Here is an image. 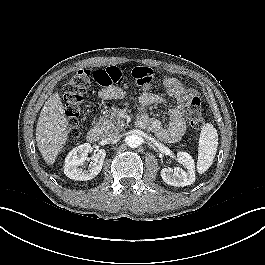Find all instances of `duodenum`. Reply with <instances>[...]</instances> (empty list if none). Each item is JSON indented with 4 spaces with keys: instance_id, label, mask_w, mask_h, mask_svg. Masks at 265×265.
Returning a JSON list of instances; mask_svg holds the SVG:
<instances>
[{
    "instance_id": "1",
    "label": "duodenum",
    "mask_w": 265,
    "mask_h": 265,
    "mask_svg": "<svg viewBox=\"0 0 265 265\" xmlns=\"http://www.w3.org/2000/svg\"><path fill=\"white\" fill-rule=\"evenodd\" d=\"M99 137H100V131L97 127H92L87 132V139L91 143H96L99 140Z\"/></svg>"
}]
</instances>
